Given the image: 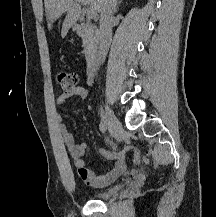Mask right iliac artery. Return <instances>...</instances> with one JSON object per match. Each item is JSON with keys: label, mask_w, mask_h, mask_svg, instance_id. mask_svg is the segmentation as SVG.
<instances>
[{"label": "right iliac artery", "mask_w": 216, "mask_h": 217, "mask_svg": "<svg viewBox=\"0 0 216 217\" xmlns=\"http://www.w3.org/2000/svg\"><path fill=\"white\" fill-rule=\"evenodd\" d=\"M100 115H101L100 130L102 133H106L108 124H107L106 116L104 115L102 109H100Z\"/></svg>", "instance_id": "1"}]
</instances>
